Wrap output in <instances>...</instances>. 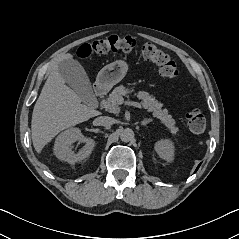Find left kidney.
Returning a JSON list of instances; mask_svg holds the SVG:
<instances>
[{
	"label": "left kidney",
	"mask_w": 239,
	"mask_h": 239,
	"mask_svg": "<svg viewBox=\"0 0 239 239\" xmlns=\"http://www.w3.org/2000/svg\"><path fill=\"white\" fill-rule=\"evenodd\" d=\"M155 151L161 159L167 162L173 161L174 158V144L171 140L162 139L155 143Z\"/></svg>",
	"instance_id": "obj_1"
}]
</instances>
